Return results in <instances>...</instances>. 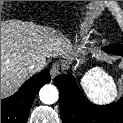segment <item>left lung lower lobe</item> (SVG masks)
Wrapping results in <instances>:
<instances>
[{
	"mask_svg": "<svg viewBox=\"0 0 123 123\" xmlns=\"http://www.w3.org/2000/svg\"><path fill=\"white\" fill-rule=\"evenodd\" d=\"M103 50L123 56V45L120 44ZM54 83L59 89L63 123H123V97L116 103L98 106L83 96L71 73L57 76Z\"/></svg>",
	"mask_w": 123,
	"mask_h": 123,
	"instance_id": "left-lung-lower-lobe-1",
	"label": "left lung lower lobe"
}]
</instances>
